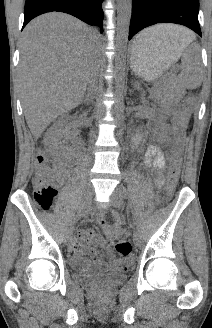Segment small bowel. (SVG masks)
I'll list each match as a JSON object with an SVG mask.
<instances>
[{"instance_id": "small-bowel-1", "label": "small bowel", "mask_w": 212, "mask_h": 328, "mask_svg": "<svg viewBox=\"0 0 212 328\" xmlns=\"http://www.w3.org/2000/svg\"><path fill=\"white\" fill-rule=\"evenodd\" d=\"M144 162L145 164H152L159 171L164 170L166 167L165 157L156 147H151L147 150ZM70 172V169L57 166L53 169L52 180L56 184H59ZM156 183L159 186L163 184V176L160 172H157ZM98 223L109 240H113L120 234L126 233L121 228V224L118 221L113 225H109L107 221L100 216L98 218ZM97 245H101L107 252V263L103 261L100 254L97 252ZM70 253L74 258H78L83 254H89L94 269L100 273L122 271L126 269V266L111 252L109 245L104 240L97 237L91 229H84L79 232L77 238L72 242Z\"/></svg>"}]
</instances>
